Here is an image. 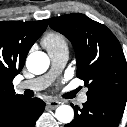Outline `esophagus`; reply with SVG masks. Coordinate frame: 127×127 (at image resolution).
I'll return each instance as SVG.
<instances>
[{"mask_svg":"<svg viewBox=\"0 0 127 127\" xmlns=\"http://www.w3.org/2000/svg\"><path fill=\"white\" fill-rule=\"evenodd\" d=\"M46 104H47L48 108L54 110V109H56L59 106L60 102L59 101H55V100H50Z\"/></svg>","mask_w":127,"mask_h":127,"instance_id":"obj_1","label":"esophagus"}]
</instances>
